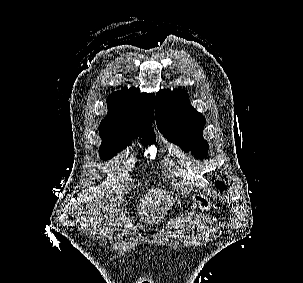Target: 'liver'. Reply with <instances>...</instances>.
<instances>
[{"label":"liver","instance_id":"6515ba94","mask_svg":"<svg viewBox=\"0 0 303 283\" xmlns=\"http://www.w3.org/2000/svg\"><path fill=\"white\" fill-rule=\"evenodd\" d=\"M97 194L99 198L103 196V193H100V191H98ZM173 202L174 201L168 199V193H166L165 191H161L160 189H152L145 196V199L142 200V204L139 205V208H141L144 214L147 216L145 218V221L151 223L152 221L160 219L161 217H158V213L160 211L164 213V210H166V208H168ZM98 209L99 213H96ZM101 209L103 210V213H105V208L100 203L93 213L94 225L101 226L102 221L106 217L100 211ZM148 213H150V216L148 215Z\"/></svg>","mask_w":303,"mask_h":283}]
</instances>
